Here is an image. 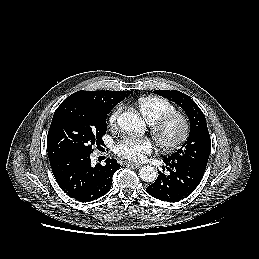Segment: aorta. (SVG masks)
I'll list each match as a JSON object with an SVG mask.
<instances>
[{
    "mask_svg": "<svg viewBox=\"0 0 259 259\" xmlns=\"http://www.w3.org/2000/svg\"><path fill=\"white\" fill-rule=\"evenodd\" d=\"M117 122L120 128L128 133L142 134L145 131L144 121L134 111L123 112ZM139 176L144 182H154L157 179L158 173L154 167L147 165L140 169Z\"/></svg>",
    "mask_w": 259,
    "mask_h": 259,
    "instance_id": "obj_1",
    "label": "aorta"
}]
</instances>
